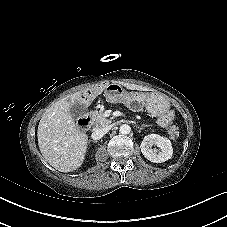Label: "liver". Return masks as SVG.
<instances>
[{
	"instance_id": "liver-1",
	"label": "liver",
	"mask_w": 227,
	"mask_h": 227,
	"mask_svg": "<svg viewBox=\"0 0 227 227\" xmlns=\"http://www.w3.org/2000/svg\"><path fill=\"white\" fill-rule=\"evenodd\" d=\"M128 89L141 90L127 85ZM85 92L71 94L46 110L37 130L38 146L45 160L60 172H72L85 159L88 136L76 125L70 109L81 101Z\"/></svg>"
}]
</instances>
